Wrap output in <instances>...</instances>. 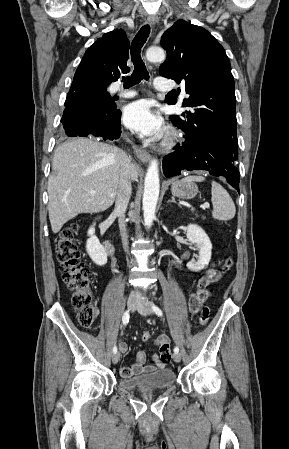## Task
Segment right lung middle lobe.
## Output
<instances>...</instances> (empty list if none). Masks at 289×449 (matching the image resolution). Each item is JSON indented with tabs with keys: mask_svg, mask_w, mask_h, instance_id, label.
<instances>
[{
	"mask_svg": "<svg viewBox=\"0 0 289 449\" xmlns=\"http://www.w3.org/2000/svg\"><path fill=\"white\" fill-rule=\"evenodd\" d=\"M107 91V88L96 91L89 107L84 112L83 116L101 118L104 117L112 107V99Z\"/></svg>",
	"mask_w": 289,
	"mask_h": 449,
	"instance_id": "1",
	"label": "right lung middle lobe"
}]
</instances>
